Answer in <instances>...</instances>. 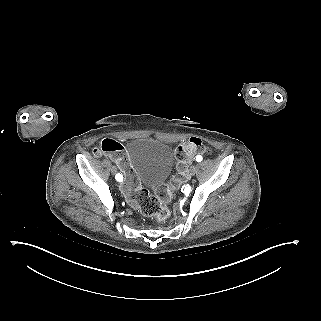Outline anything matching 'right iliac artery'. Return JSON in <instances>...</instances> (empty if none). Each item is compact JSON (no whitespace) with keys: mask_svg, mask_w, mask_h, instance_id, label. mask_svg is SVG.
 <instances>
[{"mask_svg":"<svg viewBox=\"0 0 321 321\" xmlns=\"http://www.w3.org/2000/svg\"><path fill=\"white\" fill-rule=\"evenodd\" d=\"M115 178H116L117 181H121L122 180V176L120 174H117Z\"/></svg>","mask_w":321,"mask_h":321,"instance_id":"82829eb1","label":"right iliac artery"}]
</instances>
